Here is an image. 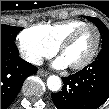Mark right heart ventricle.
<instances>
[{
  "label": "right heart ventricle",
  "instance_id": "obj_1",
  "mask_svg": "<svg viewBox=\"0 0 109 109\" xmlns=\"http://www.w3.org/2000/svg\"><path fill=\"white\" fill-rule=\"evenodd\" d=\"M83 20L72 19L53 24H43L34 28L43 30L49 40L58 47L61 42L77 27L85 24Z\"/></svg>",
  "mask_w": 109,
  "mask_h": 109
}]
</instances>
